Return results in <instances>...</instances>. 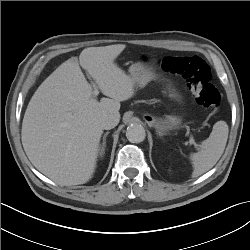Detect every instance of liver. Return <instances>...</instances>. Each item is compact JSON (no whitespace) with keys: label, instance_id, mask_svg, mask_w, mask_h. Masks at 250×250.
Segmentation results:
<instances>
[{"label":"liver","instance_id":"liver-1","mask_svg":"<svg viewBox=\"0 0 250 250\" xmlns=\"http://www.w3.org/2000/svg\"><path fill=\"white\" fill-rule=\"evenodd\" d=\"M124 44L84 49L62 63L38 87L22 122L21 140L33 166L62 186L88 182L95 172L100 122L120 118V102L134 95V81L115 63ZM109 98L93 95L80 66Z\"/></svg>","mask_w":250,"mask_h":250}]
</instances>
